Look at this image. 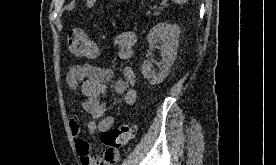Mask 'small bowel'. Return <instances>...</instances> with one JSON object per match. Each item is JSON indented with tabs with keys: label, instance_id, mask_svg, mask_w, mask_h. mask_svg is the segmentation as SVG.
Listing matches in <instances>:
<instances>
[{
	"label": "small bowel",
	"instance_id": "obj_1",
	"mask_svg": "<svg viewBox=\"0 0 276 165\" xmlns=\"http://www.w3.org/2000/svg\"><path fill=\"white\" fill-rule=\"evenodd\" d=\"M135 43L136 35L133 32H122L116 36L115 44L118 46V58L121 61L129 62L132 59ZM113 75L112 69L92 63L73 65L66 75L67 85L81 94L82 108L89 115L87 128L92 134H103L114 126L115 119L106 115L104 102L106 85L113 79ZM123 76V79L114 81V91L123 96L126 104L132 105L137 97L136 91L132 88L135 72L126 66ZM69 127L81 165H114L117 162L118 151H114L111 157L103 149L98 156L92 155L89 143L81 135L80 120L77 116L70 118Z\"/></svg>",
	"mask_w": 276,
	"mask_h": 165
}]
</instances>
